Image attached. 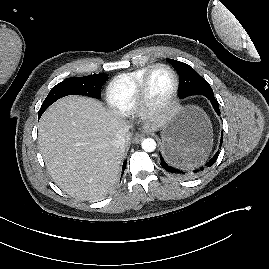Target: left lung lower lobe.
Instances as JSON below:
<instances>
[{"label": "left lung lower lobe", "mask_w": 269, "mask_h": 269, "mask_svg": "<svg viewBox=\"0 0 269 269\" xmlns=\"http://www.w3.org/2000/svg\"><path fill=\"white\" fill-rule=\"evenodd\" d=\"M204 96H206L210 100L216 113L220 114L219 104L215 99L214 94H205ZM222 142H223V133L221 136L220 144H222ZM218 154L219 152H217L210 160L206 161L204 164H201L200 166L198 165L189 166L187 168L181 165L173 155H166L163 153L162 155H160V160H161V166L169 173H172L180 177L191 178L198 176L204 169L211 167L216 162Z\"/></svg>", "instance_id": "obj_1"}]
</instances>
